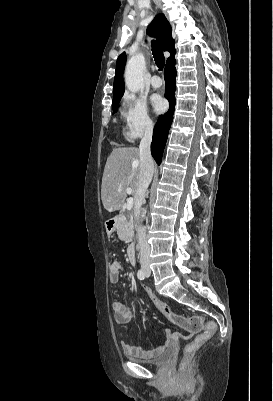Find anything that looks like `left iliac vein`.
Returning <instances> with one entry per match:
<instances>
[{"label":"left iliac vein","instance_id":"4c4485c4","mask_svg":"<svg viewBox=\"0 0 273 401\" xmlns=\"http://www.w3.org/2000/svg\"><path fill=\"white\" fill-rule=\"evenodd\" d=\"M147 265V268L145 269V275L147 276V277H149L150 275H151V270H150V268H149V265L148 264H146Z\"/></svg>","mask_w":273,"mask_h":401}]
</instances>
